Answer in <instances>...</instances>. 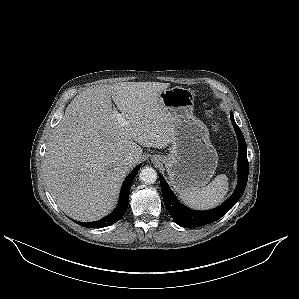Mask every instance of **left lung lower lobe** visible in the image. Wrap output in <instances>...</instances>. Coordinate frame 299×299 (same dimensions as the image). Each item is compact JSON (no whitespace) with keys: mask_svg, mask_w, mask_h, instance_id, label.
Instances as JSON below:
<instances>
[{"mask_svg":"<svg viewBox=\"0 0 299 299\" xmlns=\"http://www.w3.org/2000/svg\"><path fill=\"white\" fill-rule=\"evenodd\" d=\"M231 122L237 134L239 142L238 156V184L233 195L219 207L208 211H194L178 202L173 192L170 190L164 178L160 175V184L165 207L175 222L185 228H195L206 225L220 219L225 215L242 196L248 180V159L246 153V143L240 128L237 126L233 114L230 115Z\"/></svg>","mask_w":299,"mask_h":299,"instance_id":"1","label":"left lung lower lobe"}]
</instances>
